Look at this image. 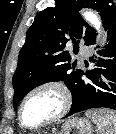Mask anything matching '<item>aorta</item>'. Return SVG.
Here are the masks:
<instances>
[{
	"label": "aorta",
	"instance_id": "obj_1",
	"mask_svg": "<svg viewBox=\"0 0 116 134\" xmlns=\"http://www.w3.org/2000/svg\"><path fill=\"white\" fill-rule=\"evenodd\" d=\"M83 16L87 21H89L94 26V28L100 31L101 21L93 12L87 11L83 14Z\"/></svg>",
	"mask_w": 116,
	"mask_h": 134
}]
</instances>
